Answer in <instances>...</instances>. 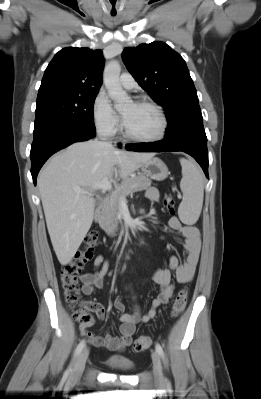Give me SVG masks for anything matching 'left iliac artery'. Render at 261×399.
I'll return each mask as SVG.
<instances>
[{
  "label": "left iliac artery",
  "instance_id": "44dca946",
  "mask_svg": "<svg viewBox=\"0 0 261 399\" xmlns=\"http://www.w3.org/2000/svg\"><path fill=\"white\" fill-rule=\"evenodd\" d=\"M155 348H156V351L158 352V354L163 358L164 357V351H163L162 346L159 343H157Z\"/></svg>",
  "mask_w": 261,
  "mask_h": 399
}]
</instances>
